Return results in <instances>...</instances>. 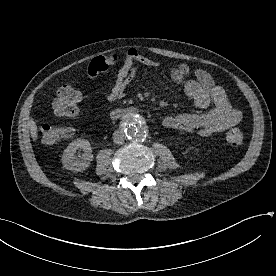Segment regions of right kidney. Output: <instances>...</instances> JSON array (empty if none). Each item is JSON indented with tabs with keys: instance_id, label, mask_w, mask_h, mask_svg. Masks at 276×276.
I'll return each instance as SVG.
<instances>
[{
	"instance_id": "obj_1",
	"label": "right kidney",
	"mask_w": 276,
	"mask_h": 276,
	"mask_svg": "<svg viewBox=\"0 0 276 276\" xmlns=\"http://www.w3.org/2000/svg\"><path fill=\"white\" fill-rule=\"evenodd\" d=\"M78 150L83 153L78 157L75 155ZM93 160L92 150L90 142L85 139H76L72 141L68 147L64 150L62 156L63 166L73 172H81L90 166Z\"/></svg>"
}]
</instances>
